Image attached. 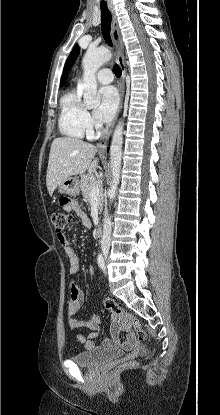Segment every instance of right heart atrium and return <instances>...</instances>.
Segmentation results:
<instances>
[{"instance_id": "d8ad5b80", "label": "right heart atrium", "mask_w": 220, "mask_h": 415, "mask_svg": "<svg viewBox=\"0 0 220 415\" xmlns=\"http://www.w3.org/2000/svg\"><path fill=\"white\" fill-rule=\"evenodd\" d=\"M86 120H87V125L90 130V133H92L93 130L97 127V125L95 124L94 120L92 119L89 113H87L86 115Z\"/></svg>"}]
</instances>
